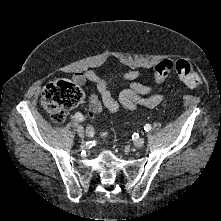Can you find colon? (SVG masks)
I'll return each instance as SVG.
<instances>
[{"mask_svg": "<svg viewBox=\"0 0 221 221\" xmlns=\"http://www.w3.org/2000/svg\"><path fill=\"white\" fill-rule=\"evenodd\" d=\"M173 71L188 86L199 87L202 83L200 75L191 63L184 59L177 61L166 59L159 62L154 68V79L157 83H162ZM83 98L84 93L78 85L68 80H57L44 87L41 102L55 123H63L68 110L79 105ZM89 117L94 119V112H89ZM87 133L92 136L94 128L88 127Z\"/></svg>", "mask_w": 221, "mask_h": 221, "instance_id": "colon-1", "label": "colon"}]
</instances>
